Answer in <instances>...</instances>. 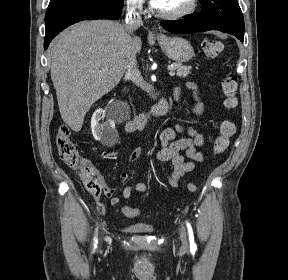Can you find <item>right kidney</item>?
<instances>
[{
	"instance_id": "right-kidney-1",
	"label": "right kidney",
	"mask_w": 288,
	"mask_h": 280,
	"mask_svg": "<svg viewBox=\"0 0 288 280\" xmlns=\"http://www.w3.org/2000/svg\"><path fill=\"white\" fill-rule=\"evenodd\" d=\"M91 129L94 138L103 145L110 146L116 141L115 123L101 109L94 112L91 118Z\"/></svg>"
}]
</instances>
